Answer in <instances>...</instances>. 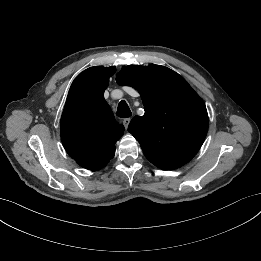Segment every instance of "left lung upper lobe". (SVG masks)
<instances>
[{"instance_id":"1","label":"left lung upper lobe","mask_w":261,"mask_h":261,"mask_svg":"<svg viewBox=\"0 0 261 261\" xmlns=\"http://www.w3.org/2000/svg\"><path fill=\"white\" fill-rule=\"evenodd\" d=\"M138 90L145 114L135 116L128 131L146 158L162 170L179 168L198 152L208 131L206 106L190 85L173 70L128 65L117 74Z\"/></svg>"}]
</instances>
